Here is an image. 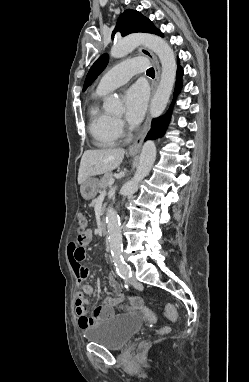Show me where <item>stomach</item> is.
<instances>
[{
  "label": "stomach",
  "mask_w": 249,
  "mask_h": 382,
  "mask_svg": "<svg viewBox=\"0 0 249 382\" xmlns=\"http://www.w3.org/2000/svg\"><path fill=\"white\" fill-rule=\"evenodd\" d=\"M98 183L96 178H88L84 181L80 187L82 197L86 200L93 199L99 191Z\"/></svg>",
  "instance_id": "stomach-1"
}]
</instances>
